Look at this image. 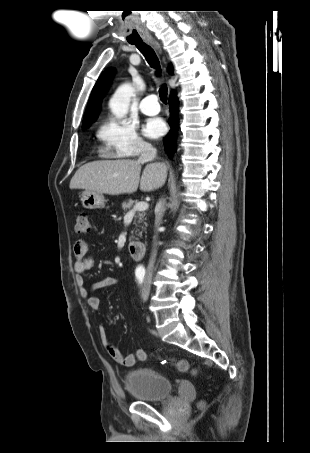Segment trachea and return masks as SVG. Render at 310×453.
Wrapping results in <instances>:
<instances>
[{"mask_svg": "<svg viewBox=\"0 0 310 453\" xmlns=\"http://www.w3.org/2000/svg\"><path fill=\"white\" fill-rule=\"evenodd\" d=\"M130 43L135 45L138 48V50L143 54L148 64L156 70V75H160L161 74L160 62L155 51L142 40ZM167 90L168 89L166 85L161 86L159 89L160 99L165 104L167 103Z\"/></svg>", "mask_w": 310, "mask_h": 453, "instance_id": "trachea-1", "label": "trachea"}]
</instances>
